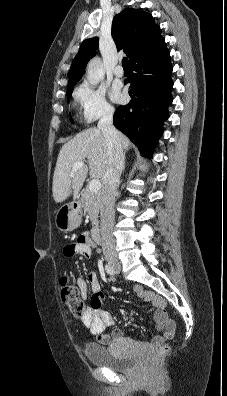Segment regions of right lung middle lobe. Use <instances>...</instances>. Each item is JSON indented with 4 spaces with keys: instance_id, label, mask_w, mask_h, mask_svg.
<instances>
[{
    "instance_id": "right-lung-middle-lobe-1",
    "label": "right lung middle lobe",
    "mask_w": 227,
    "mask_h": 396,
    "mask_svg": "<svg viewBox=\"0 0 227 396\" xmlns=\"http://www.w3.org/2000/svg\"><path fill=\"white\" fill-rule=\"evenodd\" d=\"M72 90H73V89H70V90L67 91L68 101H69V99H70V97H71ZM71 122H72V119H71Z\"/></svg>"
}]
</instances>
